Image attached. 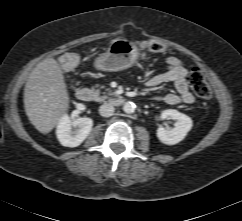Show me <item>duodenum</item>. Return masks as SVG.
Instances as JSON below:
<instances>
[{
  "mask_svg": "<svg viewBox=\"0 0 242 221\" xmlns=\"http://www.w3.org/2000/svg\"><path fill=\"white\" fill-rule=\"evenodd\" d=\"M76 95L80 101H84V102H90L95 99V93L93 92L92 89L88 87H80L77 90ZM124 102H125V98L121 96L114 97L110 100V104L113 106H120Z\"/></svg>",
  "mask_w": 242,
  "mask_h": 221,
  "instance_id": "duodenum-1",
  "label": "duodenum"
}]
</instances>
